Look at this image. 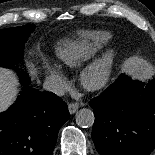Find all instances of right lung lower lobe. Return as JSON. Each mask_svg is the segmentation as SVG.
Returning a JSON list of instances; mask_svg holds the SVG:
<instances>
[{
	"instance_id": "1",
	"label": "right lung lower lobe",
	"mask_w": 155,
	"mask_h": 155,
	"mask_svg": "<svg viewBox=\"0 0 155 155\" xmlns=\"http://www.w3.org/2000/svg\"><path fill=\"white\" fill-rule=\"evenodd\" d=\"M30 83L28 77L15 104L0 113V155H51L60 127L70 118L58 96Z\"/></svg>"
}]
</instances>
